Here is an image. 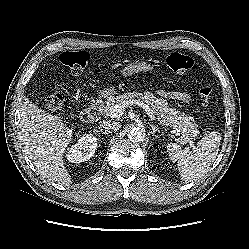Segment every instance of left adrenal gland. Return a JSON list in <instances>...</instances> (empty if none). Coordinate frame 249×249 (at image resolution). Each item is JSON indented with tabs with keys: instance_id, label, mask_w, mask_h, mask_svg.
<instances>
[{
	"instance_id": "left-adrenal-gland-1",
	"label": "left adrenal gland",
	"mask_w": 249,
	"mask_h": 249,
	"mask_svg": "<svg viewBox=\"0 0 249 249\" xmlns=\"http://www.w3.org/2000/svg\"><path fill=\"white\" fill-rule=\"evenodd\" d=\"M150 127L152 128V134L153 136H155V133H161L160 129H158L155 125H153L152 123H149Z\"/></svg>"
}]
</instances>
